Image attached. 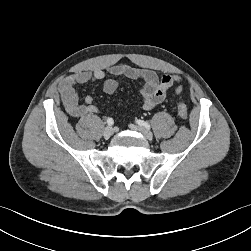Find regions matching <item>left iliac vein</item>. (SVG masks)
I'll return each mask as SVG.
<instances>
[{"label": "left iliac vein", "mask_w": 251, "mask_h": 251, "mask_svg": "<svg viewBox=\"0 0 251 251\" xmlns=\"http://www.w3.org/2000/svg\"><path fill=\"white\" fill-rule=\"evenodd\" d=\"M129 128L134 130V131H139L141 132L148 140H152L153 139V134L151 131H149L148 129H145L144 127L141 126H136L134 124H130Z\"/></svg>", "instance_id": "obj_1"}]
</instances>
